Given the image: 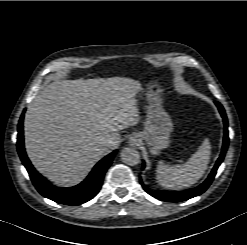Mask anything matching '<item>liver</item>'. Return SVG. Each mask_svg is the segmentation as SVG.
<instances>
[{"instance_id":"liver-1","label":"liver","mask_w":247,"mask_h":245,"mask_svg":"<svg viewBox=\"0 0 247 245\" xmlns=\"http://www.w3.org/2000/svg\"><path fill=\"white\" fill-rule=\"evenodd\" d=\"M139 90L138 81L124 77L47 85L24 118L25 148L37 171L58 186L81 182L108 153L103 143H119V131L138 123Z\"/></svg>"}]
</instances>
